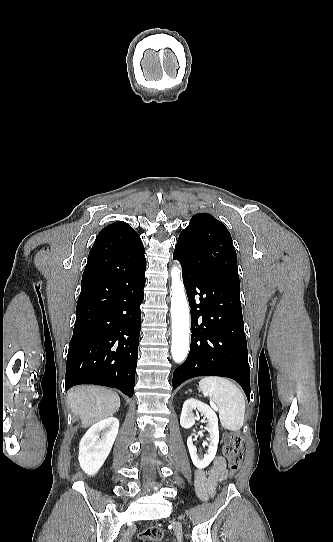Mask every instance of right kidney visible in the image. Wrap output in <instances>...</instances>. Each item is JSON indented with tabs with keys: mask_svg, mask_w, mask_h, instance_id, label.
<instances>
[{
	"mask_svg": "<svg viewBox=\"0 0 333 542\" xmlns=\"http://www.w3.org/2000/svg\"><path fill=\"white\" fill-rule=\"evenodd\" d=\"M119 430L117 418H105L87 430L79 444V464L88 476H94L103 466Z\"/></svg>",
	"mask_w": 333,
	"mask_h": 542,
	"instance_id": "1",
	"label": "right kidney"
}]
</instances>
